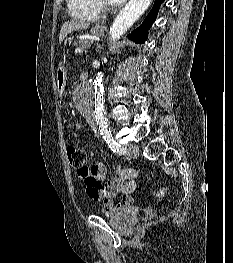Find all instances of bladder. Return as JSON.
<instances>
[{"instance_id":"31cf9c89","label":"bladder","mask_w":233,"mask_h":263,"mask_svg":"<svg viewBox=\"0 0 233 263\" xmlns=\"http://www.w3.org/2000/svg\"><path fill=\"white\" fill-rule=\"evenodd\" d=\"M138 216L135 210L131 208H123L115 211L109 218L110 225L122 233H132Z\"/></svg>"}]
</instances>
